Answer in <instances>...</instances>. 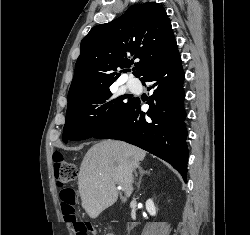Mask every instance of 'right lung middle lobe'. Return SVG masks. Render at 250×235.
Masks as SVG:
<instances>
[{"label": "right lung middle lobe", "instance_id": "obj_1", "mask_svg": "<svg viewBox=\"0 0 250 235\" xmlns=\"http://www.w3.org/2000/svg\"><path fill=\"white\" fill-rule=\"evenodd\" d=\"M125 96L113 98L106 86L68 103L63 141L94 137L111 124L131 103Z\"/></svg>", "mask_w": 250, "mask_h": 235}]
</instances>
